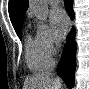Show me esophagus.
Wrapping results in <instances>:
<instances>
[{
    "label": "esophagus",
    "mask_w": 89,
    "mask_h": 89,
    "mask_svg": "<svg viewBox=\"0 0 89 89\" xmlns=\"http://www.w3.org/2000/svg\"><path fill=\"white\" fill-rule=\"evenodd\" d=\"M69 25H70V29H71V27H72V22H71V20L69 21Z\"/></svg>",
    "instance_id": "34e87169"
}]
</instances>
